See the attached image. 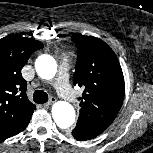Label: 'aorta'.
<instances>
[{
	"label": "aorta",
	"mask_w": 153,
	"mask_h": 153,
	"mask_svg": "<svg viewBox=\"0 0 153 153\" xmlns=\"http://www.w3.org/2000/svg\"><path fill=\"white\" fill-rule=\"evenodd\" d=\"M38 75L43 79H51L57 72V63L49 55H41L35 62ZM52 117L59 128L67 129L75 122V110L73 106L64 101H58L52 106Z\"/></svg>",
	"instance_id": "aorta-1"
}]
</instances>
